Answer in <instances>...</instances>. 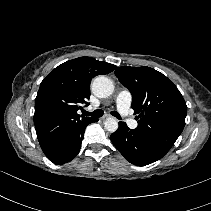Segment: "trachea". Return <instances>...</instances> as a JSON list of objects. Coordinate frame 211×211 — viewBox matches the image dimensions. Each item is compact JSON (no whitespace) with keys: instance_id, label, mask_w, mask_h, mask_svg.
Wrapping results in <instances>:
<instances>
[{"instance_id":"1","label":"trachea","mask_w":211,"mask_h":211,"mask_svg":"<svg viewBox=\"0 0 211 211\" xmlns=\"http://www.w3.org/2000/svg\"><path fill=\"white\" fill-rule=\"evenodd\" d=\"M83 114L86 115V116H91V117H94V118H99V117L103 116L104 112L101 109H97V110H95L93 112L84 111ZM111 115L115 116L117 119H121V116L116 111H112L111 112Z\"/></svg>"}]
</instances>
